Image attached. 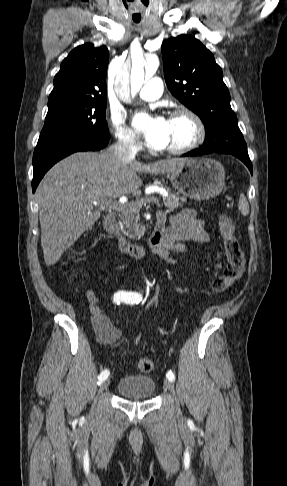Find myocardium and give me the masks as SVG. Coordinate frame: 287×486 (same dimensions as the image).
Here are the masks:
<instances>
[{"label":"myocardium","mask_w":287,"mask_h":486,"mask_svg":"<svg viewBox=\"0 0 287 486\" xmlns=\"http://www.w3.org/2000/svg\"><path fill=\"white\" fill-rule=\"evenodd\" d=\"M180 117L187 118L188 120L191 121L194 127V136L192 140L187 144L163 149L162 150L163 153L169 155H182L198 148L205 140L206 137L205 125L197 113H195L190 109L182 108L173 111L172 114L170 115V119H175Z\"/></svg>","instance_id":"obj_1"}]
</instances>
